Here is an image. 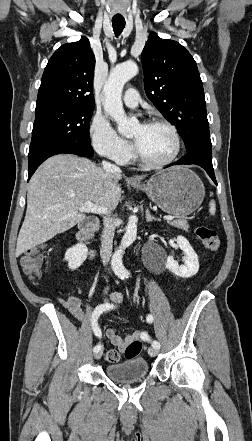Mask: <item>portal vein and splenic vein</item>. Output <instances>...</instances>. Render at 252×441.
I'll use <instances>...</instances> for the list:
<instances>
[{
  "instance_id": "portal-vein-and-splenic-vein-1",
  "label": "portal vein and splenic vein",
  "mask_w": 252,
  "mask_h": 441,
  "mask_svg": "<svg viewBox=\"0 0 252 441\" xmlns=\"http://www.w3.org/2000/svg\"><path fill=\"white\" fill-rule=\"evenodd\" d=\"M82 212H90L95 214H105L107 213V209L96 204L91 203L90 201H85L84 204L79 208ZM164 220L171 221L174 219L173 216H164Z\"/></svg>"
}]
</instances>
